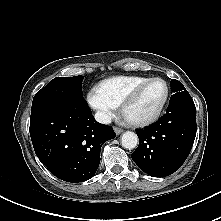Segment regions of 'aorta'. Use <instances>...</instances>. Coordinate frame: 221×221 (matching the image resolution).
I'll return each mask as SVG.
<instances>
[{
  "label": "aorta",
  "mask_w": 221,
  "mask_h": 221,
  "mask_svg": "<svg viewBox=\"0 0 221 221\" xmlns=\"http://www.w3.org/2000/svg\"><path fill=\"white\" fill-rule=\"evenodd\" d=\"M122 147L126 149H133L138 144V136L136 133L131 131H126L121 137Z\"/></svg>",
  "instance_id": "aorta-1"
}]
</instances>
